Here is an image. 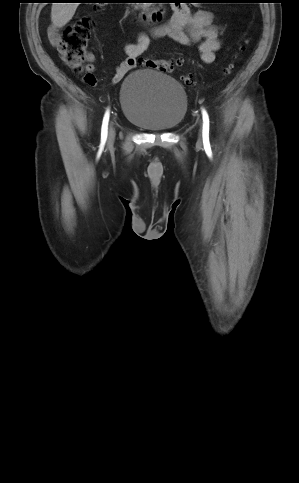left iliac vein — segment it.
Returning a JSON list of instances; mask_svg holds the SVG:
<instances>
[{
    "label": "left iliac vein",
    "mask_w": 299,
    "mask_h": 483,
    "mask_svg": "<svg viewBox=\"0 0 299 483\" xmlns=\"http://www.w3.org/2000/svg\"><path fill=\"white\" fill-rule=\"evenodd\" d=\"M199 143H201V138H200V140H199Z\"/></svg>",
    "instance_id": "1"
}]
</instances>
